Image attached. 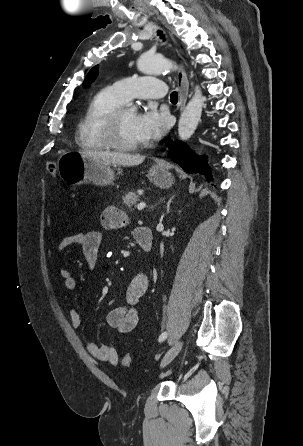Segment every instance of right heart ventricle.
Wrapping results in <instances>:
<instances>
[{"instance_id":"right-heart-ventricle-1","label":"right heart ventricle","mask_w":303,"mask_h":446,"mask_svg":"<svg viewBox=\"0 0 303 446\" xmlns=\"http://www.w3.org/2000/svg\"><path fill=\"white\" fill-rule=\"evenodd\" d=\"M126 101L113 86L100 90L88 104L76 131V143L85 150L98 151L108 149L103 128L106 117Z\"/></svg>"}]
</instances>
